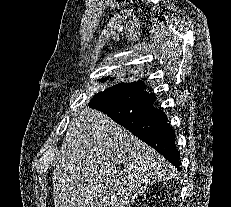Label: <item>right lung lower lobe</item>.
<instances>
[{
	"label": "right lung lower lobe",
	"instance_id": "obj_1",
	"mask_svg": "<svg viewBox=\"0 0 231 207\" xmlns=\"http://www.w3.org/2000/svg\"><path fill=\"white\" fill-rule=\"evenodd\" d=\"M122 87V97L100 100L97 94L90 106L124 126L179 169L180 154L175 147V132L169 128L164 112L153 106L156 96L145 91V84L140 80L124 83Z\"/></svg>",
	"mask_w": 231,
	"mask_h": 207
}]
</instances>
